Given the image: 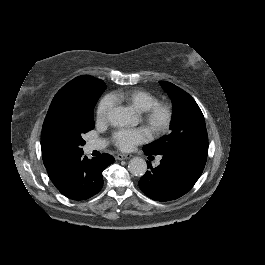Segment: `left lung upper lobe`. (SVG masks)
<instances>
[{"label":"left lung upper lobe","mask_w":265,"mask_h":265,"mask_svg":"<svg viewBox=\"0 0 265 265\" xmlns=\"http://www.w3.org/2000/svg\"><path fill=\"white\" fill-rule=\"evenodd\" d=\"M173 103L171 133L145 145L148 154H165L185 148L208 150V136L204 116L195 100L172 83L160 82Z\"/></svg>","instance_id":"1"}]
</instances>
